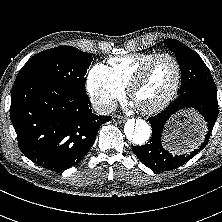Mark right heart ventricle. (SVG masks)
<instances>
[{
	"label": "right heart ventricle",
	"instance_id": "1",
	"mask_svg": "<svg viewBox=\"0 0 222 222\" xmlns=\"http://www.w3.org/2000/svg\"><path fill=\"white\" fill-rule=\"evenodd\" d=\"M156 54V52H139L126 56L114 57L108 61V69L113 78L125 88L128 86L131 78L139 67Z\"/></svg>",
	"mask_w": 222,
	"mask_h": 222
}]
</instances>
